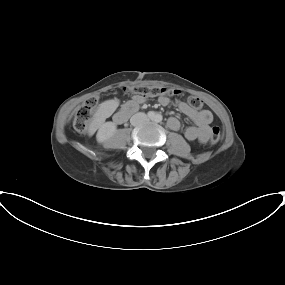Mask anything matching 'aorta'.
<instances>
[{"label": "aorta", "instance_id": "obj_1", "mask_svg": "<svg viewBox=\"0 0 285 285\" xmlns=\"http://www.w3.org/2000/svg\"><path fill=\"white\" fill-rule=\"evenodd\" d=\"M153 120L155 122H161L162 121V115L161 114H155L153 117Z\"/></svg>", "mask_w": 285, "mask_h": 285}]
</instances>
